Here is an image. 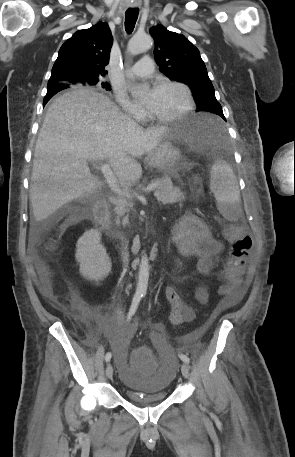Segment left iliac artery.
<instances>
[{
	"instance_id": "left-iliac-artery-1",
	"label": "left iliac artery",
	"mask_w": 295,
	"mask_h": 457,
	"mask_svg": "<svg viewBox=\"0 0 295 457\" xmlns=\"http://www.w3.org/2000/svg\"><path fill=\"white\" fill-rule=\"evenodd\" d=\"M179 357H180V359H181L182 361H184L185 363H189V362H190L189 358H188L186 355H184V354H179Z\"/></svg>"
}]
</instances>
